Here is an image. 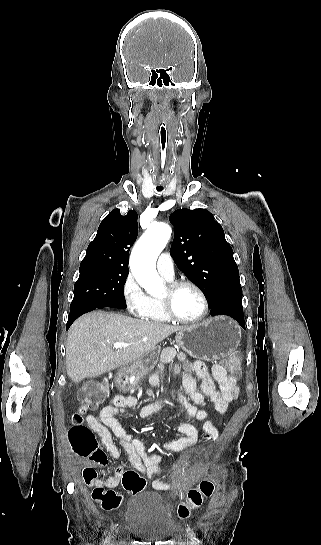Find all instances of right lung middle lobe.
I'll list each match as a JSON object with an SVG mask.
<instances>
[{"label": "right lung middle lobe", "mask_w": 321, "mask_h": 545, "mask_svg": "<svg viewBox=\"0 0 321 545\" xmlns=\"http://www.w3.org/2000/svg\"><path fill=\"white\" fill-rule=\"evenodd\" d=\"M70 311L83 306H110L125 303L124 284L128 270L79 269Z\"/></svg>", "instance_id": "obj_1"}]
</instances>
